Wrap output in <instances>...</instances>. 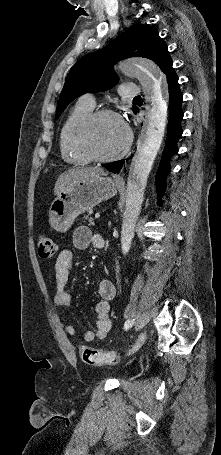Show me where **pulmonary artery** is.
<instances>
[{"mask_svg": "<svg viewBox=\"0 0 221 455\" xmlns=\"http://www.w3.org/2000/svg\"><path fill=\"white\" fill-rule=\"evenodd\" d=\"M119 94L122 97H134L140 95V87L131 83H124L119 88ZM80 100L90 106L95 105V98L92 94L83 95Z\"/></svg>", "mask_w": 221, "mask_h": 455, "instance_id": "1", "label": "pulmonary artery"}]
</instances>
